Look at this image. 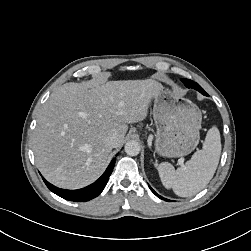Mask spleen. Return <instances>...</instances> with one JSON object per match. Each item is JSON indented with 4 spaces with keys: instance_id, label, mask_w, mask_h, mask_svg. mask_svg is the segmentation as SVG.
I'll return each instance as SVG.
<instances>
[{
    "instance_id": "3e777b00",
    "label": "spleen",
    "mask_w": 251,
    "mask_h": 251,
    "mask_svg": "<svg viewBox=\"0 0 251 251\" xmlns=\"http://www.w3.org/2000/svg\"><path fill=\"white\" fill-rule=\"evenodd\" d=\"M221 153L220 132L213 126L207 132L203 148L195 152L186 164L177 170L168 162L158 165L162 184L172 188L180 197H190L206 187L217 169Z\"/></svg>"
}]
</instances>
